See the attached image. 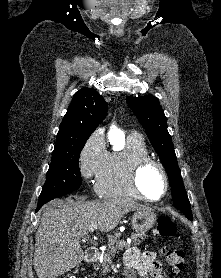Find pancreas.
<instances>
[{
	"instance_id": "1",
	"label": "pancreas",
	"mask_w": 221,
	"mask_h": 278,
	"mask_svg": "<svg viewBox=\"0 0 221 278\" xmlns=\"http://www.w3.org/2000/svg\"><path fill=\"white\" fill-rule=\"evenodd\" d=\"M118 238L119 233L108 237V249L106 253H104L101 262L104 272L107 271L109 265L112 263V258L118 253V250H122L124 247H129V244L121 245ZM131 239L134 245H138L144 239V233L132 234Z\"/></svg>"
}]
</instances>
